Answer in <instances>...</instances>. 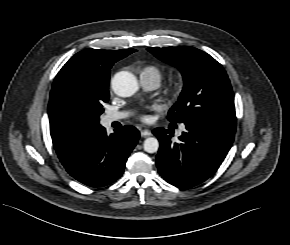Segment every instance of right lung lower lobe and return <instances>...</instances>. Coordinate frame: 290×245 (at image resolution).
I'll return each instance as SVG.
<instances>
[{
    "label": "right lung lower lobe",
    "instance_id": "obj_1",
    "mask_svg": "<svg viewBox=\"0 0 290 245\" xmlns=\"http://www.w3.org/2000/svg\"><path fill=\"white\" fill-rule=\"evenodd\" d=\"M139 136V131L130 125L109 136L100 126L58 157L76 180L91 187L106 186L122 175Z\"/></svg>",
    "mask_w": 290,
    "mask_h": 245
}]
</instances>
